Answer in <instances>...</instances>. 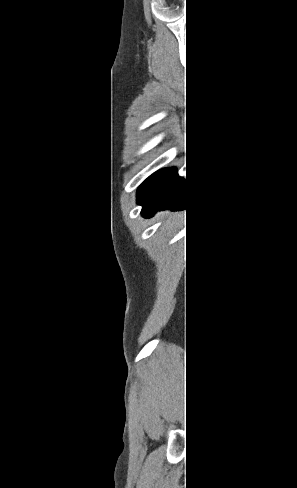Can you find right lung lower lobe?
<instances>
[{
	"mask_svg": "<svg viewBox=\"0 0 297 488\" xmlns=\"http://www.w3.org/2000/svg\"><path fill=\"white\" fill-rule=\"evenodd\" d=\"M137 194V203L143 206L141 214L144 217L166 208L182 210L188 203V187L175 168L155 172L143 182Z\"/></svg>",
	"mask_w": 297,
	"mask_h": 488,
	"instance_id": "right-lung-lower-lobe-1",
	"label": "right lung lower lobe"
}]
</instances>
